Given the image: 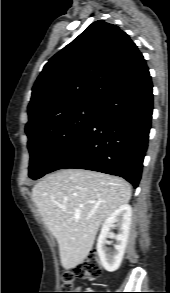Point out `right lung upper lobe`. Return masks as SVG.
<instances>
[{
  "label": "right lung upper lobe",
  "mask_w": 170,
  "mask_h": 293,
  "mask_svg": "<svg viewBox=\"0 0 170 293\" xmlns=\"http://www.w3.org/2000/svg\"><path fill=\"white\" fill-rule=\"evenodd\" d=\"M148 72L130 37L98 20L44 66L32 89L26 129L78 105H100Z\"/></svg>",
  "instance_id": "right-lung-upper-lobe-1"
}]
</instances>
